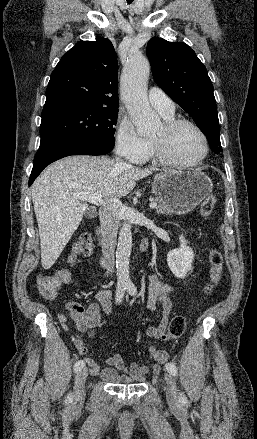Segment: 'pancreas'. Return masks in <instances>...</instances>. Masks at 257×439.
I'll use <instances>...</instances> for the list:
<instances>
[{
	"instance_id": "1",
	"label": "pancreas",
	"mask_w": 257,
	"mask_h": 439,
	"mask_svg": "<svg viewBox=\"0 0 257 439\" xmlns=\"http://www.w3.org/2000/svg\"><path fill=\"white\" fill-rule=\"evenodd\" d=\"M152 200L158 204V206L156 208L158 214H160V213L166 214V215L172 214V212H173L172 209L163 200H161L158 197L152 198Z\"/></svg>"
}]
</instances>
